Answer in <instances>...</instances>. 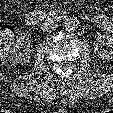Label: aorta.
Returning <instances> with one entry per match:
<instances>
[{
	"instance_id": "aorta-1",
	"label": "aorta",
	"mask_w": 113,
	"mask_h": 113,
	"mask_svg": "<svg viewBox=\"0 0 113 113\" xmlns=\"http://www.w3.org/2000/svg\"><path fill=\"white\" fill-rule=\"evenodd\" d=\"M80 26V21L76 17H68L65 19L64 27L66 31H76Z\"/></svg>"
}]
</instances>
